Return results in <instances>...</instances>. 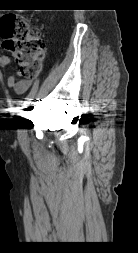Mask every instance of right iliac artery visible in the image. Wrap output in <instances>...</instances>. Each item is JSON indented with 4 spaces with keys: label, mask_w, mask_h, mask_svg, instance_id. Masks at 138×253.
Segmentation results:
<instances>
[{
    "label": "right iliac artery",
    "mask_w": 138,
    "mask_h": 253,
    "mask_svg": "<svg viewBox=\"0 0 138 253\" xmlns=\"http://www.w3.org/2000/svg\"><path fill=\"white\" fill-rule=\"evenodd\" d=\"M37 80H40V77H37ZM37 88H38V81L34 83L30 93L27 94L26 97L24 98V112L28 109V107L31 106V102L33 101V97L35 96ZM23 117H24V114H23Z\"/></svg>",
    "instance_id": "1"
}]
</instances>
